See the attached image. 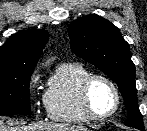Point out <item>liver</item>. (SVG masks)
<instances>
[{
    "label": "liver",
    "mask_w": 147,
    "mask_h": 131,
    "mask_svg": "<svg viewBox=\"0 0 147 131\" xmlns=\"http://www.w3.org/2000/svg\"><path fill=\"white\" fill-rule=\"evenodd\" d=\"M0 131H87V128L63 123H36L21 127H9L5 125L4 118L0 117Z\"/></svg>",
    "instance_id": "6515ba94"
}]
</instances>
